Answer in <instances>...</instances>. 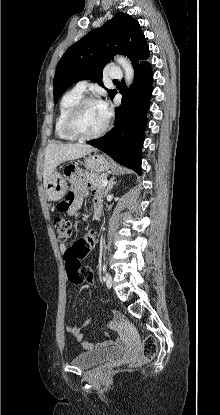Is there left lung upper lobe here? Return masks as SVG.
Segmentation results:
<instances>
[{"mask_svg":"<svg viewBox=\"0 0 220 415\" xmlns=\"http://www.w3.org/2000/svg\"><path fill=\"white\" fill-rule=\"evenodd\" d=\"M114 54L127 56L133 66L150 55L138 21L123 12L117 13L66 50L53 80L54 103L68 87L80 80L90 79L104 87L102 71ZM114 91L108 90L109 96Z\"/></svg>","mask_w":220,"mask_h":415,"instance_id":"obj_1","label":"left lung upper lobe"}]
</instances>
